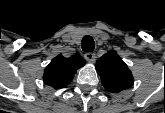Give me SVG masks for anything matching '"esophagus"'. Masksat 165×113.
Listing matches in <instances>:
<instances>
[{
	"label": "esophagus",
	"mask_w": 165,
	"mask_h": 113,
	"mask_svg": "<svg viewBox=\"0 0 165 113\" xmlns=\"http://www.w3.org/2000/svg\"><path fill=\"white\" fill-rule=\"evenodd\" d=\"M85 57H86V59H88V60H92L93 57H94V54H93L92 52H87V53L85 54Z\"/></svg>",
	"instance_id": "34e87169"
}]
</instances>
